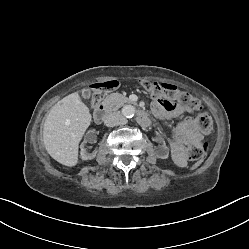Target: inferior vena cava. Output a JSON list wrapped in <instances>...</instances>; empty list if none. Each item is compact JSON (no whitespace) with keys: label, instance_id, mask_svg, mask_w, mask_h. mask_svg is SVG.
Instances as JSON below:
<instances>
[{"label":"inferior vena cava","instance_id":"inferior-vena-cava-1","mask_svg":"<svg viewBox=\"0 0 249 249\" xmlns=\"http://www.w3.org/2000/svg\"><path fill=\"white\" fill-rule=\"evenodd\" d=\"M126 123V119L118 112H113L108 114L104 119V124L107 127H113L118 125H123Z\"/></svg>","mask_w":249,"mask_h":249}]
</instances>
